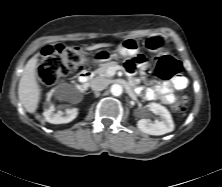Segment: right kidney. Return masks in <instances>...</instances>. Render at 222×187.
I'll return each mask as SVG.
<instances>
[{"instance_id": "obj_1", "label": "right kidney", "mask_w": 222, "mask_h": 187, "mask_svg": "<svg viewBox=\"0 0 222 187\" xmlns=\"http://www.w3.org/2000/svg\"><path fill=\"white\" fill-rule=\"evenodd\" d=\"M52 95H56L52 92L48 94L47 101L50 100ZM60 98V97H58ZM55 108L53 104H49L48 109L45 110L43 113L45 120L52 124H62V123H68L74 120L78 115V109L72 108V109H66L65 112L58 111L57 113L54 112Z\"/></svg>"}]
</instances>
